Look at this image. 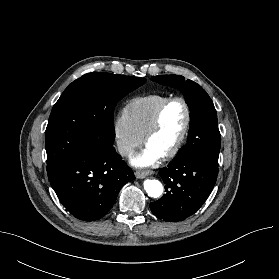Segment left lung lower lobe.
Masks as SVG:
<instances>
[{"mask_svg":"<svg viewBox=\"0 0 279 279\" xmlns=\"http://www.w3.org/2000/svg\"><path fill=\"white\" fill-rule=\"evenodd\" d=\"M166 194L150 203L159 219L177 222L194 214L210 195L218 175V164L196 155L175 157L159 170Z\"/></svg>","mask_w":279,"mask_h":279,"instance_id":"0a47b994","label":"left lung lower lobe"}]
</instances>
